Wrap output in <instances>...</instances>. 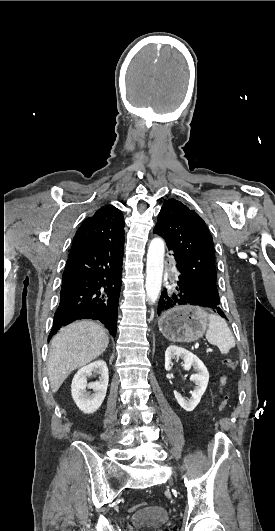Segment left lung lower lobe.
I'll list each match as a JSON object with an SVG mask.
<instances>
[{"mask_svg":"<svg viewBox=\"0 0 275 531\" xmlns=\"http://www.w3.org/2000/svg\"><path fill=\"white\" fill-rule=\"evenodd\" d=\"M154 232L158 234L155 230ZM178 305H197V306H204L191 296H189L184 287L180 284L175 288L174 291H168L167 289H164L161 293L159 302H158V308H157V314L161 315L166 310H169L175 306ZM216 309L217 313L220 314L222 317L226 318L223 311L220 308L217 307H210ZM227 319V318H226Z\"/></svg>","mask_w":275,"mask_h":531,"instance_id":"0a47b994","label":"left lung lower lobe"}]
</instances>
